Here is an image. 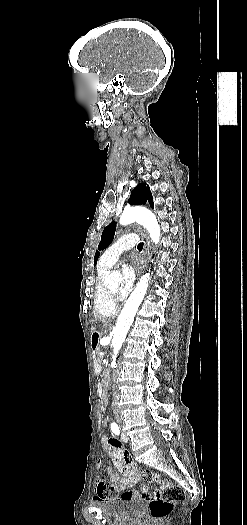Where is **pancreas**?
<instances>
[{"mask_svg":"<svg viewBox=\"0 0 247 525\" xmlns=\"http://www.w3.org/2000/svg\"><path fill=\"white\" fill-rule=\"evenodd\" d=\"M99 353H102V350H100V349H96V355L94 356V359H95L96 361H101V360L103 359V356H100Z\"/></svg>","mask_w":247,"mask_h":525,"instance_id":"1","label":"pancreas"}]
</instances>
